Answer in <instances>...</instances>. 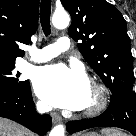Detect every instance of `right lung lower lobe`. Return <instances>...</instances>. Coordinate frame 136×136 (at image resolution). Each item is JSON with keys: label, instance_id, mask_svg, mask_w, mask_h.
<instances>
[{"label": "right lung lower lobe", "instance_id": "98d812e1", "mask_svg": "<svg viewBox=\"0 0 136 136\" xmlns=\"http://www.w3.org/2000/svg\"><path fill=\"white\" fill-rule=\"evenodd\" d=\"M0 116L16 121L39 135H45L52 125L49 115L37 114L29 82L17 93L0 94Z\"/></svg>", "mask_w": 136, "mask_h": 136}]
</instances>
